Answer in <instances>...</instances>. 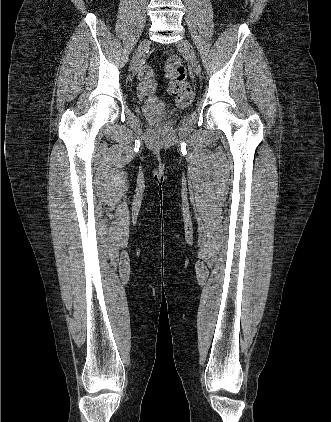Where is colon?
<instances>
[{
	"instance_id": "colon-1",
	"label": "colon",
	"mask_w": 331,
	"mask_h": 422,
	"mask_svg": "<svg viewBox=\"0 0 331 422\" xmlns=\"http://www.w3.org/2000/svg\"><path fill=\"white\" fill-rule=\"evenodd\" d=\"M166 74L169 78V91L177 98L178 105L183 107L192 99V89L186 80V68L176 55L170 56L165 65ZM144 78H152V68L144 65L141 69Z\"/></svg>"
}]
</instances>
